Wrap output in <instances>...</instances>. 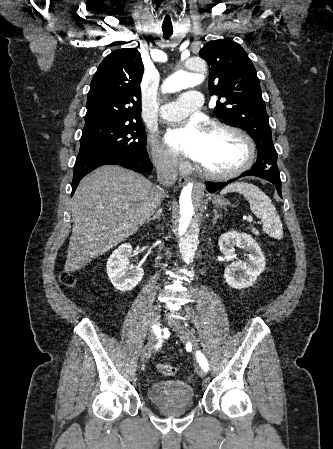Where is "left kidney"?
Here are the masks:
<instances>
[{
	"instance_id": "5707ae66",
	"label": "left kidney",
	"mask_w": 333,
	"mask_h": 449,
	"mask_svg": "<svg viewBox=\"0 0 333 449\" xmlns=\"http://www.w3.org/2000/svg\"><path fill=\"white\" fill-rule=\"evenodd\" d=\"M220 251L226 256H232L235 247L249 252L248 262H232L224 271L227 284L236 289L251 286L264 270L266 259L258 243L248 234L231 231L223 234L218 241ZM240 272V274H238Z\"/></svg>"
}]
</instances>
